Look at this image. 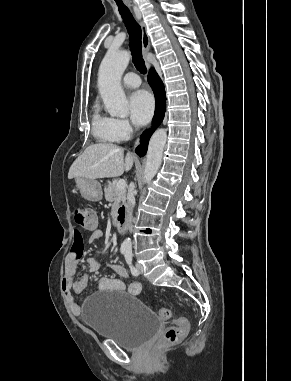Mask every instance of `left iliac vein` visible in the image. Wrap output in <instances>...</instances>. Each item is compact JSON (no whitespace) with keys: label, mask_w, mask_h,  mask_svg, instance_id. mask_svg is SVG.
I'll return each mask as SVG.
<instances>
[{"label":"left iliac vein","mask_w":291,"mask_h":381,"mask_svg":"<svg viewBox=\"0 0 291 381\" xmlns=\"http://www.w3.org/2000/svg\"><path fill=\"white\" fill-rule=\"evenodd\" d=\"M136 269L138 271V274H142L143 273V266L140 263L136 264Z\"/></svg>","instance_id":"1"}]
</instances>
